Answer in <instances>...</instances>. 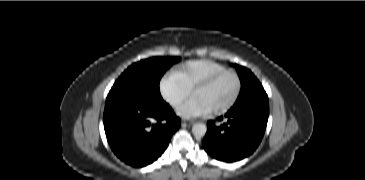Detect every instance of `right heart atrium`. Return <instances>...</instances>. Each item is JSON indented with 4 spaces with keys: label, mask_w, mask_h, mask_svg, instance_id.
<instances>
[{
    "label": "right heart atrium",
    "mask_w": 365,
    "mask_h": 180,
    "mask_svg": "<svg viewBox=\"0 0 365 180\" xmlns=\"http://www.w3.org/2000/svg\"><path fill=\"white\" fill-rule=\"evenodd\" d=\"M160 91L164 99L174 107L181 105L187 98V92L179 85L173 73L161 80Z\"/></svg>",
    "instance_id": "1"
}]
</instances>
